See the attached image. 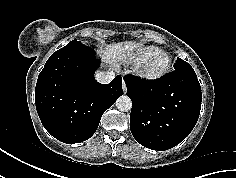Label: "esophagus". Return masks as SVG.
I'll list each match as a JSON object with an SVG mask.
<instances>
[{
  "instance_id": "obj_1",
  "label": "esophagus",
  "mask_w": 236,
  "mask_h": 178,
  "mask_svg": "<svg viewBox=\"0 0 236 178\" xmlns=\"http://www.w3.org/2000/svg\"><path fill=\"white\" fill-rule=\"evenodd\" d=\"M122 89H123V93L125 94L127 92V87L124 80L122 81Z\"/></svg>"
}]
</instances>
